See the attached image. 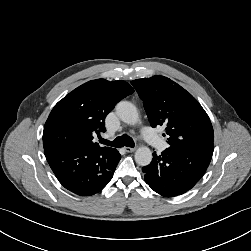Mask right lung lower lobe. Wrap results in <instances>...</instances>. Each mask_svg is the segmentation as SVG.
Segmentation results:
<instances>
[{
    "instance_id": "1",
    "label": "right lung lower lobe",
    "mask_w": 251,
    "mask_h": 251,
    "mask_svg": "<svg viewBox=\"0 0 251 251\" xmlns=\"http://www.w3.org/2000/svg\"><path fill=\"white\" fill-rule=\"evenodd\" d=\"M45 156L59 182L80 196L101 191L121 159L117 150L107 158L97 150L69 147L45 150Z\"/></svg>"
}]
</instances>
